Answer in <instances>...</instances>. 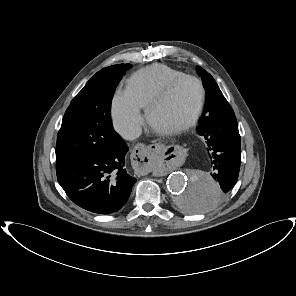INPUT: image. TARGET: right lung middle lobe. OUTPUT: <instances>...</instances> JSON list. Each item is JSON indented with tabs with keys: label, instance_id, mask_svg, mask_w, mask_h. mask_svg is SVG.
<instances>
[{
	"label": "right lung middle lobe",
	"instance_id": "obj_1",
	"mask_svg": "<svg viewBox=\"0 0 296 296\" xmlns=\"http://www.w3.org/2000/svg\"><path fill=\"white\" fill-rule=\"evenodd\" d=\"M130 68L131 64H119L102 69L74 97L58 132L57 163L123 145L113 129L109 110L115 89Z\"/></svg>",
	"mask_w": 296,
	"mask_h": 296
}]
</instances>
